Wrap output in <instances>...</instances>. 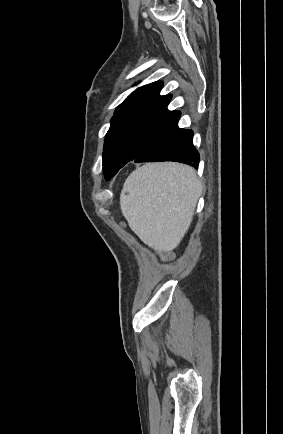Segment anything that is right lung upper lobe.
<instances>
[{"label": "right lung upper lobe", "mask_w": 283, "mask_h": 434, "mask_svg": "<svg viewBox=\"0 0 283 434\" xmlns=\"http://www.w3.org/2000/svg\"><path fill=\"white\" fill-rule=\"evenodd\" d=\"M162 85L161 81H157L136 89L118 106L112 120L134 115H148L177 121L180 112L167 109L171 95L160 96Z\"/></svg>", "instance_id": "right-lung-upper-lobe-1"}]
</instances>
